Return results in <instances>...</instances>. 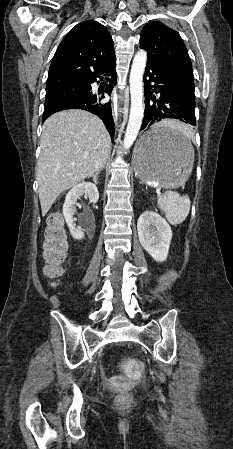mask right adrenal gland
<instances>
[{
  "mask_svg": "<svg viewBox=\"0 0 233 449\" xmlns=\"http://www.w3.org/2000/svg\"><path fill=\"white\" fill-rule=\"evenodd\" d=\"M103 169H104V166H102L100 170H98L94 175H92V178H93V181L95 182V184H97L98 175L100 174V171H102Z\"/></svg>",
  "mask_w": 233,
  "mask_h": 449,
  "instance_id": "right-adrenal-gland-1",
  "label": "right adrenal gland"
}]
</instances>
